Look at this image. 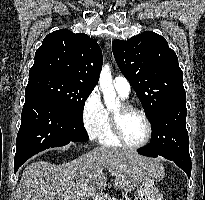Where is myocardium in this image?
<instances>
[{"instance_id": "1", "label": "myocardium", "mask_w": 205, "mask_h": 200, "mask_svg": "<svg viewBox=\"0 0 205 200\" xmlns=\"http://www.w3.org/2000/svg\"><path fill=\"white\" fill-rule=\"evenodd\" d=\"M129 113H137L139 115L142 116V118L144 119L146 125H147V134L145 139L139 143V144H131L129 143L124 134H123V130H122V118L129 114ZM110 120H111V127H112V131L113 134L115 136V138L120 142L121 145L130 148V149H140L144 146H146L151 138H152V134H153V126H152V122L150 120V118L148 117V115L146 114V112L134 105H131L129 103H122L120 105V110L118 113H114L112 112L110 114Z\"/></svg>"}]
</instances>
